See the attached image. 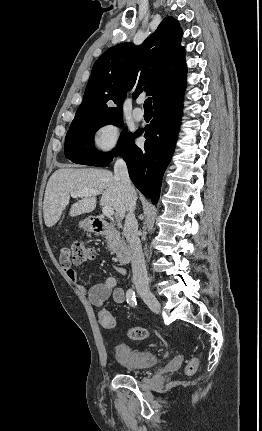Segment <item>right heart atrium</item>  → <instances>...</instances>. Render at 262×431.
<instances>
[{
  "label": "right heart atrium",
  "mask_w": 262,
  "mask_h": 431,
  "mask_svg": "<svg viewBox=\"0 0 262 431\" xmlns=\"http://www.w3.org/2000/svg\"><path fill=\"white\" fill-rule=\"evenodd\" d=\"M121 129L116 121L109 120L101 123L92 136L94 150L100 154L110 153L120 142Z\"/></svg>",
  "instance_id": "1"
}]
</instances>
